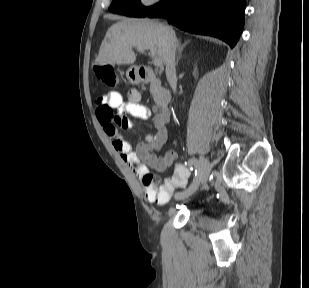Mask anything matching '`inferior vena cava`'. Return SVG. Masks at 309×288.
<instances>
[{
  "label": "inferior vena cava",
  "instance_id": "1",
  "mask_svg": "<svg viewBox=\"0 0 309 288\" xmlns=\"http://www.w3.org/2000/svg\"><path fill=\"white\" fill-rule=\"evenodd\" d=\"M167 33H168V50H167V56H166V77L167 80L173 89V91H176V86H177V77H176V69H175V52H176V37L175 33L171 28H167Z\"/></svg>",
  "mask_w": 309,
  "mask_h": 288
}]
</instances>
